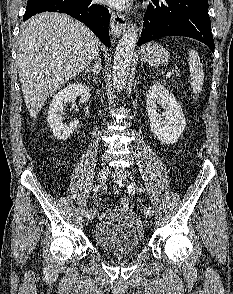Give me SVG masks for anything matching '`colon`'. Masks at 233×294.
<instances>
[{"label":"colon","instance_id":"1","mask_svg":"<svg viewBox=\"0 0 233 294\" xmlns=\"http://www.w3.org/2000/svg\"><path fill=\"white\" fill-rule=\"evenodd\" d=\"M133 205L132 201L128 198H124L120 201V206L123 208H131Z\"/></svg>","mask_w":233,"mask_h":294}]
</instances>
